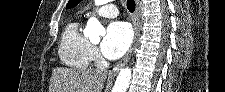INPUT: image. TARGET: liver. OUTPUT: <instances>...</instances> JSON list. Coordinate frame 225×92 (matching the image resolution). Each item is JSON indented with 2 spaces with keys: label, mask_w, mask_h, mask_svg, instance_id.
I'll return each instance as SVG.
<instances>
[{
  "label": "liver",
  "mask_w": 225,
  "mask_h": 92,
  "mask_svg": "<svg viewBox=\"0 0 225 92\" xmlns=\"http://www.w3.org/2000/svg\"><path fill=\"white\" fill-rule=\"evenodd\" d=\"M106 77L105 70L56 67L48 92H102Z\"/></svg>",
  "instance_id": "obj_1"
}]
</instances>
